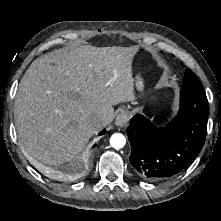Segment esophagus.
Wrapping results in <instances>:
<instances>
[{"mask_svg":"<svg viewBox=\"0 0 221 221\" xmlns=\"http://www.w3.org/2000/svg\"><path fill=\"white\" fill-rule=\"evenodd\" d=\"M129 119H130V112L123 110L117 115L115 119V124L117 126L123 127L128 123Z\"/></svg>","mask_w":221,"mask_h":221,"instance_id":"34e87169","label":"esophagus"}]
</instances>
